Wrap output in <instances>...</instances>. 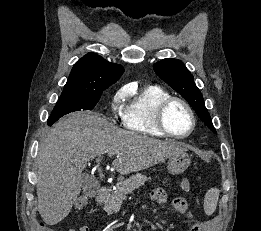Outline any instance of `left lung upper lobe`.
<instances>
[{
    "label": "left lung upper lobe",
    "instance_id": "1",
    "mask_svg": "<svg viewBox=\"0 0 261 231\" xmlns=\"http://www.w3.org/2000/svg\"><path fill=\"white\" fill-rule=\"evenodd\" d=\"M153 68L162 80L189 102L199 118L213 132H216L210 115L205 107L202 93L197 88L192 74L185 67L183 62L177 59H164L155 63Z\"/></svg>",
    "mask_w": 261,
    "mask_h": 231
}]
</instances>
